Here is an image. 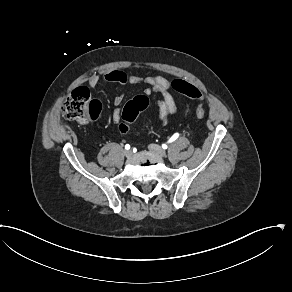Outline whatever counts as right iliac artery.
Masks as SVG:
<instances>
[{
  "instance_id": "right-iliac-artery-1",
  "label": "right iliac artery",
  "mask_w": 292,
  "mask_h": 292,
  "mask_svg": "<svg viewBox=\"0 0 292 292\" xmlns=\"http://www.w3.org/2000/svg\"><path fill=\"white\" fill-rule=\"evenodd\" d=\"M125 149H126V150L130 149V145H129V144H126V145H125Z\"/></svg>"
}]
</instances>
